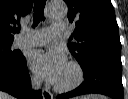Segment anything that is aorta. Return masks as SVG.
I'll list each match as a JSON object with an SVG mask.
<instances>
[{
	"label": "aorta",
	"mask_w": 128,
	"mask_h": 99,
	"mask_svg": "<svg viewBox=\"0 0 128 99\" xmlns=\"http://www.w3.org/2000/svg\"><path fill=\"white\" fill-rule=\"evenodd\" d=\"M67 5L63 0H52L48 6V15L51 18H63L67 15Z\"/></svg>",
	"instance_id": "aorta-1"
}]
</instances>
